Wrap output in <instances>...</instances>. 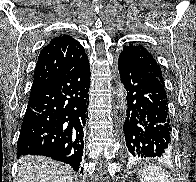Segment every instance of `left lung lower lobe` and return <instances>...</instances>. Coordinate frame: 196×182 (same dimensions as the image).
Wrapping results in <instances>:
<instances>
[{
	"label": "left lung lower lobe",
	"mask_w": 196,
	"mask_h": 182,
	"mask_svg": "<svg viewBox=\"0 0 196 182\" xmlns=\"http://www.w3.org/2000/svg\"><path fill=\"white\" fill-rule=\"evenodd\" d=\"M118 69L127 91L123 126L126 156L131 159L169 156L171 126L165 86L128 57L119 56Z\"/></svg>",
	"instance_id": "1"
}]
</instances>
